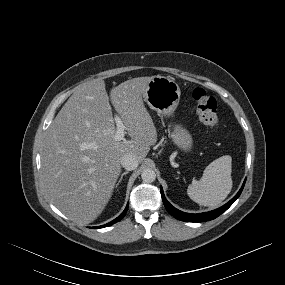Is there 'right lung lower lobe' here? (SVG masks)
I'll return each mask as SVG.
<instances>
[{"mask_svg": "<svg viewBox=\"0 0 285 285\" xmlns=\"http://www.w3.org/2000/svg\"><path fill=\"white\" fill-rule=\"evenodd\" d=\"M127 209H128V205H127V207L125 208V210H124L116 219H114L113 221H111V222H109V223H107V224H105V225L98 226V227H92V228L107 227V226H110V225H112V224H114V223L120 221V220L125 216Z\"/></svg>", "mask_w": 285, "mask_h": 285, "instance_id": "98d812e1", "label": "right lung lower lobe"}]
</instances>
